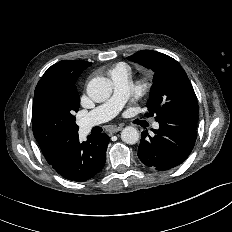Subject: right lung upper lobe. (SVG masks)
Here are the masks:
<instances>
[{
  "instance_id": "cb5924a9",
  "label": "right lung upper lobe",
  "mask_w": 232,
  "mask_h": 232,
  "mask_svg": "<svg viewBox=\"0 0 232 232\" xmlns=\"http://www.w3.org/2000/svg\"><path fill=\"white\" fill-rule=\"evenodd\" d=\"M91 64V62L82 60L60 61L48 68L39 82L50 81L55 84H63L75 75H80ZM76 135L78 134L72 135L51 147L40 146L50 165H54L57 162L64 145Z\"/></svg>"
}]
</instances>
